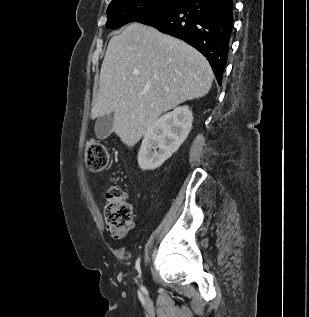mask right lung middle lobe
I'll return each mask as SVG.
<instances>
[{
	"label": "right lung middle lobe",
	"instance_id": "right-lung-middle-lobe-1",
	"mask_svg": "<svg viewBox=\"0 0 309 317\" xmlns=\"http://www.w3.org/2000/svg\"><path fill=\"white\" fill-rule=\"evenodd\" d=\"M185 0H112L107 9L106 27L117 29L136 18L171 7Z\"/></svg>",
	"mask_w": 309,
	"mask_h": 317
}]
</instances>
